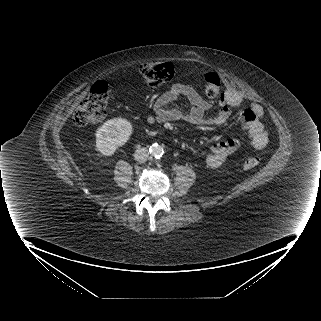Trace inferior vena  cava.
Instances as JSON below:
<instances>
[{
	"instance_id": "602c4592",
	"label": "inferior vena cava",
	"mask_w": 321,
	"mask_h": 321,
	"mask_svg": "<svg viewBox=\"0 0 321 321\" xmlns=\"http://www.w3.org/2000/svg\"><path fill=\"white\" fill-rule=\"evenodd\" d=\"M148 157L149 151L146 148H139L134 153L135 160L140 163H144L145 161H147Z\"/></svg>"
}]
</instances>
